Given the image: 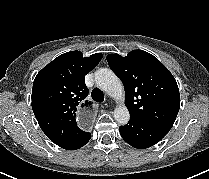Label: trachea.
Masks as SVG:
<instances>
[{
    "instance_id": "1",
    "label": "trachea",
    "mask_w": 209,
    "mask_h": 179,
    "mask_svg": "<svg viewBox=\"0 0 209 179\" xmlns=\"http://www.w3.org/2000/svg\"><path fill=\"white\" fill-rule=\"evenodd\" d=\"M91 96H92L93 100H95L96 102H103L104 101V94L98 88H94L92 90Z\"/></svg>"
}]
</instances>
